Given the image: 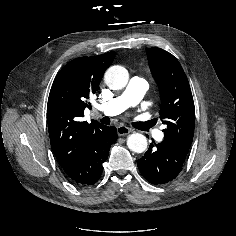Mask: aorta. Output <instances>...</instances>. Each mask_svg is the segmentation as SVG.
<instances>
[{"mask_svg": "<svg viewBox=\"0 0 236 236\" xmlns=\"http://www.w3.org/2000/svg\"><path fill=\"white\" fill-rule=\"evenodd\" d=\"M104 80L110 89L119 90L127 85L129 74L122 66H112L106 71ZM127 146L135 153H142L147 149V138L140 133H133L127 139Z\"/></svg>", "mask_w": 236, "mask_h": 236, "instance_id": "762f6f07", "label": "aorta"}]
</instances>
